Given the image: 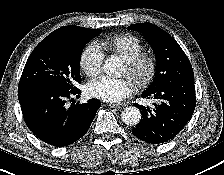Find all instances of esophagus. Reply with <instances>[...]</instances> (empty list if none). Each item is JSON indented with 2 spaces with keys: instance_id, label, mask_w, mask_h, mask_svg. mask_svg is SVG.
Wrapping results in <instances>:
<instances>
[{
  "instance_id": "1",
  "label": "esophagus",
  "mask_w": 224,
  "mask_h": 175,
  "mask_svg": "<svg viewBox=\"0 0 224 175\" xmlns=\"http://www.w3.org/2000/svg\"><path fill=\"white\" fill-rule=\"evenodd\" d=\"M108 106L115 109H122L125 105L123 103H117V104L110 103Z\"/></svg>"
}]
</instances>
